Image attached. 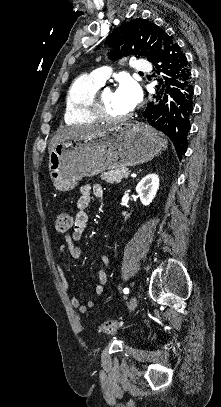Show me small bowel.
<instances>
[{
    "label": "small bowel",
    "mask_w": 221,
    "mask_h": 407,
    "mask_svg": "<svg viewBox=\"0 0 221 407\" xmlns=\"http://www.w3.org/2000/svg\"><path fill=\"white\" fill-rule=\"evenodd\" d=\"M92 194H94L96 197H102L105 194V189L100 184H85L80 188V196L76 203L77 212L73 219L72 231L71 234H65L62 236V243L59 248L60 254H63L64 251L67 250L70 256L74 259H78L81 256V248L77 245V241L83 236L87 227L88 215L86 210L90 204ZM101 260L105 267L99 269L96 274L98 284L95 287V293L97 295L103 294L104 286L108 281L106 267L109 264V258L106 253L101 255ZM58 272L62 280L63 287L68 290V283L61 267H58ZM94 305V300H89L86 304H83L78 297L73 296L71 298V306L80 313L87 312V310L93 308Z\"/></svg>",
    "instance_id": "small-bowel-1"
}]
</instances>
